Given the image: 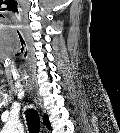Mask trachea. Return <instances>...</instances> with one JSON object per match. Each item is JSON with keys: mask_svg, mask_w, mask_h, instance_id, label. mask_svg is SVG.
Listing matches in <instances>:
<instances>
[{"mask_svg": "<svg viewBox=\"0 0 120 133\" xmlns=\"http://www.w3.org/2000/svg\"><path fill=\"white\" fill-rule=\"evenodd\" d=\"M25 113L29 132L38 133L40 128V120L37 112L29 109Z\"/></svg>", "mask_w": 120, "mask_h": 133, "instance_id": "trachea-1", "label": "trachea"}]
</instances>
